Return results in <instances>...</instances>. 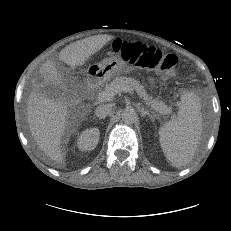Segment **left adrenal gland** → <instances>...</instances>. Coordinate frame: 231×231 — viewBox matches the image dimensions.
Masks as SVG:
<instances>
[{
	"instance_id": "left-adrenal-gland-1",
	"label": "left adrenal gland",
	"mask_w": 231,
	"mask_h": 231,
	"mask_svg": "<svg viewBox=\"0 0 231 231\" xmlns=\"http://www.w3.org/2000/svg\"><path fill=\"white\" fill-rule=\"evenodd\" d=\"M140 115L142 117L148 116L152 121H154V116L149 113V111H146L144 108H140Z\"/></svg>"
}]
</instances>
